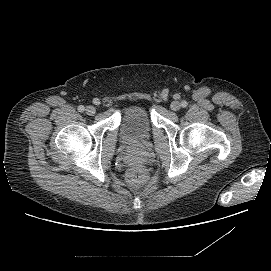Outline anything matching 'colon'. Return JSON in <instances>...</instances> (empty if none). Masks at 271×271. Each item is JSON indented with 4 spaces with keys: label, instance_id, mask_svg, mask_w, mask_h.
Instances as JSON below:
<instances>
[{
    "label": "colon",
    "instance_id": "obj_1",
    "mask_svg": "<svg viewBox=\"0 0 271 271\" xmlns=\"http://www.w3.org/2000/svg\"><path fill=\"white\" fill-rule=\"evenodd\" d=\"M127 181L133 186H141L147 181V173L141 166H134L127 173Z\"/></svg>",
    "mask_w": 271,
    "mask_h": 271
}]
</instances>
